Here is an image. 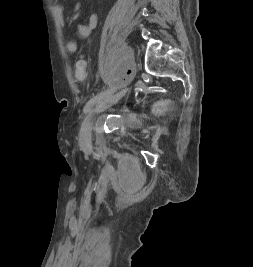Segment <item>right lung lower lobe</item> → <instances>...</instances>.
<instances>
[{"label":"right lung lower lobe","mask_w":253,"mask_h":267,"mask_svg":"<svg viewBox=\"0 0 253 267\" xmlns=\"http://www.w3.org/2000/svg\"><path fill=\"white\" fill-rule=\"evenodd\" d=\"M157 213H158V211L155 210V211H154V215H156Z\"/></svg>","instance_id":"98d812e1"}]
</instances>
